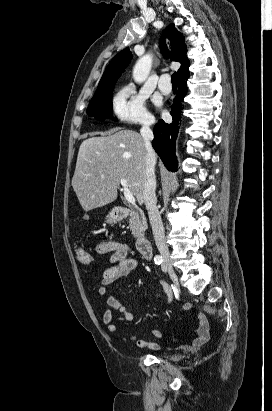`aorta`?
Wrapping results in <instances>:
<instances>
[{
  "label": "aorta",
  "instance_id": "1",
  "mask_svg": "<svg viewBox=\"0 0 272 411\" xmlns=\"http://www.w3.org/2000/svg\"><path fill=\"white\" fill-rule=\"evenodd\" d=\"M152 66V56L150 54L140 58L134 66L133 78L141 83L146 80Z\"/></svg>",
  "mask_w": 272,
  "mask_h": 411
}]
</instances>
